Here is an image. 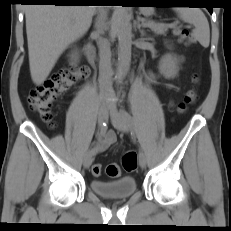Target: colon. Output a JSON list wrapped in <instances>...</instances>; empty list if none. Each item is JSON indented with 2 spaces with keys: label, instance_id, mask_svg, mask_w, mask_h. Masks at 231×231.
Returning <instances> with one entry per match:
<instances>
[{
  "label": "colon",
  "instance_id": "colon-1",
  "mask_svg": "<svg viewBox=\"0 0 231 231\" xmlns=\"http://www.w3.org/2000/svg\"><path fill=\"white\" fill-rule=\"evenodd\" d=\"M171 26L173 33L181 40L194 42V38L187 28L175 23H172ZM86 75L87 68L83 66H68L55 72L46 81L30 91L28 96L29 106L44 122L51 127H55L52 115L53 104L79 84ZM197 98L198 95L195 91H189L184 100L180 102L179 111H185L190 105L195 103ZM137 165L136 152L128 151L123 155L121 165L112 163L106 167V174L113 178L119 177L123 170L132 172L137 169ZM91 172L94 176H99L102 172L101 164H94Z\"/></svg>",
  "mask_w": 231,
  "mask_h": 231
}]
</instances>
